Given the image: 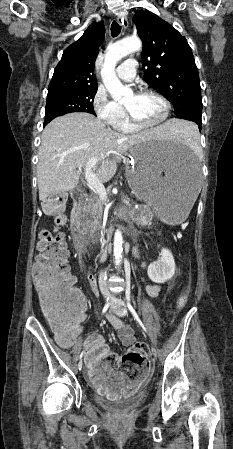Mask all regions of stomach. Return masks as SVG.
I'll return each instance as SVG.
<instances>
[{
	"instance_id": "1",
	"label": "stomach",
	"mask_w": 233,
	"mask_h": 449,
	"mask_svg": "<svg viewBox=\"0 0 233 449\" xmlns=\"http://www.w3.org/2000/svg\"><path fill=\"white\" fill-rule=\"evenodd\" d=\"M126 178L132 192L166 224L183 222L199 200L200 166L193 152L170 142H141L131 149Z\"/></svg>"
}]
</instances>
